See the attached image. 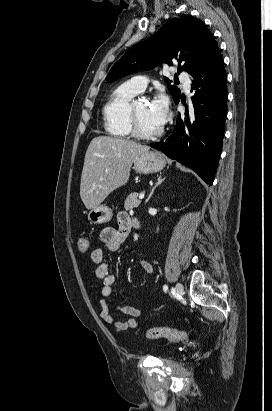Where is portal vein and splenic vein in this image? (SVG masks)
Returning <instances> with one entry per match:
<instances>
[{
	"label": "portal vein and splenic vein",
	"instance_id": "portal-vein-and-splenic-vein-1",
	"mask_svg": "<svg viewBox=\"0 0 272 411\" xmlns=\"http://www.w3.org/2000/svg\"><path fill=\"white\" fill-rule=\"evenodd\" d=\"M143 198H144V193H141V194L139 195V199L142 200Z\"/></svg>",
	"mask_w": 272,
	"mask_h": 411
}]
</instances>
